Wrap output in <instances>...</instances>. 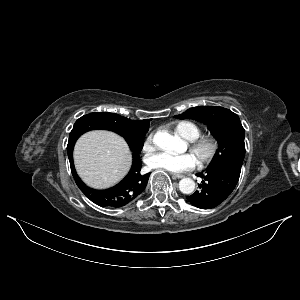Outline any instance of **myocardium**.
<instances>
[{
  "mask_svg": "<svg viewBox=\"0 0 300 300\" xmlns=\"http://www.w3.org/2000/svg\"><path fill=\"white\" fill-rule=\"evenodd\" d=\"M190 149L198 154L197 161L200 165H209L220 152V141L213 135H202L190 141Z\"/></svg>",
  "mask_w": 300,
  "mask_h": 300,
  "instance_id": "1",
  "label": "myocardium"
}]
</instances>
